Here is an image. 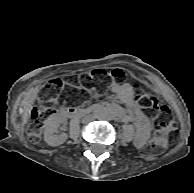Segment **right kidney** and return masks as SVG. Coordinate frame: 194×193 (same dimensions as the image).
<instances>
[{
  "label": "right kidney",
  "instance_id": "obj_1",
  "mask_svg": "<svg viewBox=\"0 0 194 193\" xmlns=\"http://www.w3.org/2000/svg\"><path fill=\"white\" fill-rule=\"evenodd\" d=\"M63 123L56 114L50 115L44 124V140L50 146H59L67 139L65 132L57 133L59 124Z\"/></svg>",
  "mask_w": 194,
  "mask_h": 193
}]
</instances>
